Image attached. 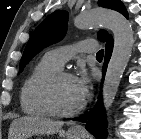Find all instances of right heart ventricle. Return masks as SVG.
Listing matches in <instances>:
<instances>
[{
    "instance_id": "obj_1",
    "label": "right heart ventricle",
    "mask_w": 141,
    "mask_h": 139,
    "mask_svg": "<svg viewBox=\"0 0 141 139\" xmlns=\"http://www.w3.org/2000/svg\"><path fill=\"white\" fill-rule=\"evenodd\" d=\"M60 68L52 64L45 57L31 70L23 82L20 92V105L22 111L32 117H47L49 112L45 108L41 89L44 82Z\"/></svg>"
}]
</instances>
